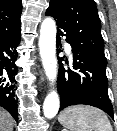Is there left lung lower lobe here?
Returning a JSON list of instances; mask_svg holds the SVG:
<instances>
[{
    "label": "left lung lower lobe",
    "mask_w": 117,
    "mask_h": 131,
    "mask_svg": "<svg viewBox=\"0 0 117 131\" xmlns=\"http://www.w3.org/2000/svg\"><path fill=\"white\" fill-rule=\"evenodd\" d=\"M46 15L50 14L46 13ZM57 26V46L61 41L60 36H66V41L72 46L73 52V69H65L62 63L59 68L58 91L61 100L59 111L71 105L84 104L97 107L114 119L113 107L107 91L108 79L105 68L75 47L66 29L58 22ZM59 60L61 62L63 59Z\"/></svg>",
    "instance_id": "left-lung-lower-lobe-1"
}]
</instances>
